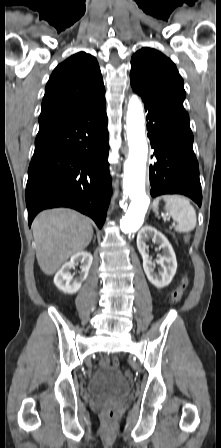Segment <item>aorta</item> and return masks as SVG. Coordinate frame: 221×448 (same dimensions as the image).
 Segmentation results:
<instances>
[{"label":"aorta","instance_id":"762f6f07","mask_svg":"<svg viewBox=\"0 0 221 448\" xmlns=\"http://www.w3.org/2000/svg\"><path fill=\"white\" fill-rule=\"evenodd\" d=\"M144 123L142 103L137 95H132L126 119L129 155L124 163L123 178V189L131 199V203L120 221V228L124 232H134L141 227L150 203L145 191L148 145Z\"/></svg>","mask_w":221,"mask_h":448}]
</instances>
